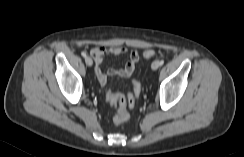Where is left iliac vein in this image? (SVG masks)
I'll return each instance as SVG.
<instances>
[{"label": "left iliac vein", "instance_id": "left-iliac-vein-1", "mask_svg": "<svg viewBox=\"0 0 244 157\" xmlns=\"http://www.w3.org/2000/svg\"><path fill=\"white\" fill-rule=\"evenodd\" d=\"M151 68H152L153 70L158 69V68H159V61H154V62L152 63V65H151Z\"/></svg>", "mask_w": 244, "mask_h": 157}]
</instances>
